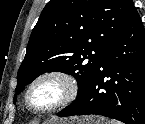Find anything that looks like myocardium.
Returning a JSON list of instances; mask_svg holds the SVG:
<instances>
[{"instance_id":"f54148a6","label":"myocardium","mask_w":145,"mask_h":124,"mask_svg":"<svg viewBox=\"0 0 145 124\" xmlns=\"http://www.w3.org/2000/svg\"><path fill=\"white\" fill-rule=\"evenodd\" d=\"M55 83L60 87L57 99L46 105H37L32 101L33 92L41 85ZM79 93L76 78L68 72L49 70L36 76L26 87L23 94V104L32 114L40 115L62 109L73 102Z\"/></svg>"}]
</instances>
